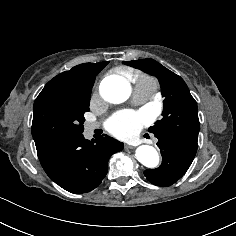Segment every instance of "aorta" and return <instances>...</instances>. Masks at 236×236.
I'll list each match as a JSON object with an SVG mask.
<instances>
[{
	"label": "aorta",
	"mask_w": 236,
	"mask_h": 236,
	"mask_svg": "<svg viewBox=\"0 0 236 236\" xmlns=\"http://www.w3.org/2000/svg\"><path fill=\"white\" fill-rule=\"evenodd\" d=\"M101 96L110 103L119 104L126 101L131 94L129 82L121 76L105 78L100 84ZM136 159L148 168L157 167L159 155L156 149L149 145H141L136 149Z\"/></svg>",
	"instance_id": "1"
}]
</instances>
